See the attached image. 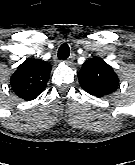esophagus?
Segmentation results:
<instances>
[{"instance_id":"obj_1","label":"esophagus","mask_w":135,"mask_h":165,"mask_svg":"<svg viewBox=\"0 0 135 165\" xmlns=\"http://www.w3.org/2000/svg\"><path fill=\"white\" fill-rule=\"evenodd\" d=\"M74 59H75V54L73 53L70 55V57L67 60H65V63L68 65H71L73 63Z\"/></svg>"}]
</instances>
